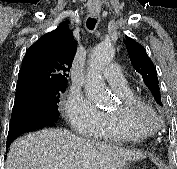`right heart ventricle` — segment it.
<instances>
[{"label":"right heart ventricle","instance_id":"obj_1","mask_svg":"<svg viewBox=\"0 0 177 169\" xmlns=\"http://www.w3.org/2000/svg\"><path fill=\"white\" fill-rule=\"evenodd\" d=\"M122 100H132L137 96L130 88L124 91H115ZM99 130L95 138L109 141H132L140 142L150 135H143L138 132L128 133L122 122L114 112H103L101 114Z\"/></svg>","mask_w":177,"mask_h":169}]
</instances>
